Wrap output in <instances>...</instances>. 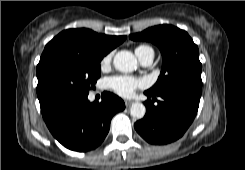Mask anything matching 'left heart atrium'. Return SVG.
<instances>
[{
  "instance_id": "39dd6f15",
  "label": "left heart atrium",
  "mask_w": 245,
  "mask_h": 170,
  "mask_svg": "<svg viewBox=\"0 0 245 170\" xmlns=\"http://www.w3.org/2000/svg\"><path fill=\"white\" fill-rule=\"evenodd\" d=\"M147 82L130 76H114L109 79L110 87L123 97H130L138 88L145 87Z\"/></svg>"
}]
</instances>
